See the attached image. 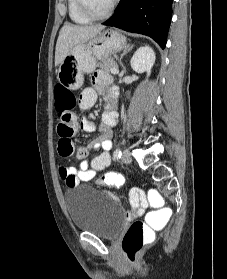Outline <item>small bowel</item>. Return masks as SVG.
Returning <instances> with one entry per match:
<instances>
[{
    "mask_svg": "<svg viewBox=\"0 0 227 279\" xmlns=\"http://www.w3.org/2000/svg\"><path fill=\"white\" fill-rule=\"evenodd\" d=\"M99 94H104L107 102H114L117 100V93L115 87L112 85V79L108 74L96 73L91 79V86L85 88L79 96V106L82 110L92 109L99 97ZM118 115L115 111L106 112L103 114L99 126L100 137L90 142L88 147H74L69 138L61 137L59 142V153L62 157H68L75 154V157L80 161L78 167L64 166L59 170V175L62 180L71 186V180L74 179L76 184L81 181L91 180L98 172L104 170L111 164L110 149L112 147L111 137L113 127L116 125ZM80 125L85 132L91 133L96 130L95 123L89 119L84 118L80 122L72 119V127L76 129ZM70 145V154H66L67 146ZM89 150L100 153L96 157L88 158ZM149 207L148 201L145 197H139L132 193L131 211L129 214L141 215Z\"/></svg>",
    "mask_w": 227,
    "mask_h": 279,
    "instance_id": "c3829d8e",
    "label": "small bowel"
}]
</instances>
